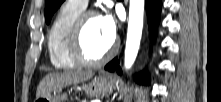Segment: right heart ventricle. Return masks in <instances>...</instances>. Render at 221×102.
<instances>
[{
	"instance_id": "obj_1",
	"label": "right heart ventricle",
	"mask_w": 221,
	"mask_h": 102,
	"mask_svg": "<svg viewBox=\"0 0 221 102\" xmlns=\"http://www.w3.org/2000/svg\"><path fill=\"white\" fill-rule=\"evenodd\" d=\"M84 8L68 1L56 14L47 34V47L51 63L58 69H73L78 63L69 51V36L76 19Z\"/></svg>"
}]
</instances>
